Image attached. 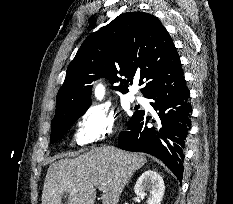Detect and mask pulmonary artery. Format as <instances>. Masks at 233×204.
Masks as SVG:
<instances>
[{
    "label": "pulmonary artery",
    "mask_w": 233,
    "mask_h": 204,
    "mask_svg": "<svg viewBox=\"0 0 233 204\" xmlns=\"http://www.w3.org/2000/svg\"><path fill=\"white\" fill-rule=\"evenodd\" d=\"M130 99L132 100V101H142V97H140L139 95H137V94H132L131 96H130Z\"/></svg>",
    "instance_id": "e3ab8cb5"
}]
</instances>
